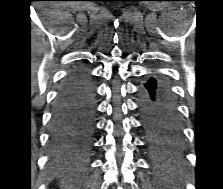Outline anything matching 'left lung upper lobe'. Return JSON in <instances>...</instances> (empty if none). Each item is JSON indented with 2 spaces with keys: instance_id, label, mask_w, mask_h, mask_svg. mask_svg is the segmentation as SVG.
<instances>
[{
  "instance_id": "obj_1",
  "label": "left lung upper lobe",
  "mask_w": 223,
  "mask_h": 189,
  "mask_svg": "<svg viewBox=\"0 0 223 189\" xmlns=\"http://www.w3.org/2000/svg\"><path fill=\"white\" fill-rule=\"evenodd\" d=\"M144 126L148 134L149 142L155 150L162 151L172 148L175 145L177 141L176 135L168 132L162 127L148 124H145Z\"/></svg>"
}]
</instances>
